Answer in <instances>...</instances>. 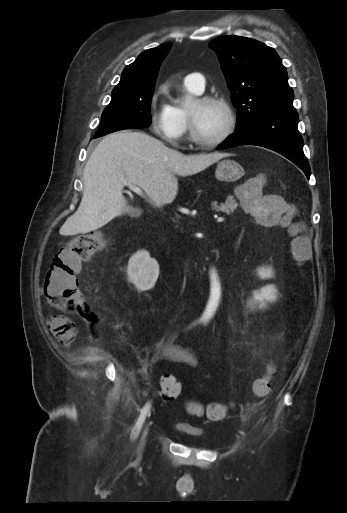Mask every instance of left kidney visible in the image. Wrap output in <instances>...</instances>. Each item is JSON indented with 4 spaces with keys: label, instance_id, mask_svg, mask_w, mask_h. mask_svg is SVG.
Segmentation results:
<instances>
[{
    "label": "left kidney",
    "instance_id": "obj_1",
    "mask_svg": "<svg viewBox=\"0 0 347 513\" xmlns=\"http://www.w3.org/2000/svg\"><path fill=\"white\" fill-rule=\"evenodd\" d=\"M258 275L261 278H269L273 276V272L270 269L260 268L258 270ZM277 299V289L274 285H268L260 290H256L253 292V298L250 299L249 305L254 306L258 305L259 308L266 307L267 303L275 302Z\"/></svg>",
    "mask_w": 347,
    "mask_h": 513
}]
</instances>
